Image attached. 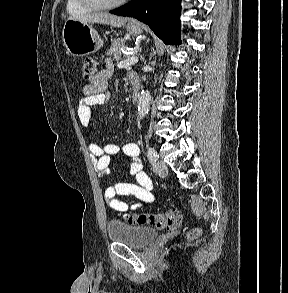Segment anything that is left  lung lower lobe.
<instances>
[{"label":"left lung lower lobe","mask_w":288,"mask_h":293,"mask_svg":"<svg viewBox=\"0 0 288 293\" xmlns=\"http://www.w3.org/2000/svg\"><path fill=\"white\" fill-rule=\"evenodd\" d=\"M180 1L132 0L110 13L136 18L146 23L164 43L179 45Z\"/></svg>","instance_id":"left-lung-lower-lobe-1"}]
</instances>
